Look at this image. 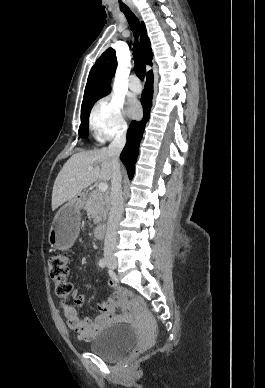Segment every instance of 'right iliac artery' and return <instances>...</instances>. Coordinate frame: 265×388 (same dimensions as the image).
I'll return each instance as SVG.
<instances>
[{"label": "right iliac artery", "instance_id": "obj_1", "mask_svg": "<svg viewBox=\"0 0 265 388\" xmlns=\"http://www.w3.org/2000/svg\"><path fill=\"white\" fill-rule=\"evenodd\" d=\"M106 260L104 259V258H102V259H100V261H99V266L101 267V268H105V266H106Z\"/></svg>", "mask_w": 265, "mask_h": 388}]
</instances>
